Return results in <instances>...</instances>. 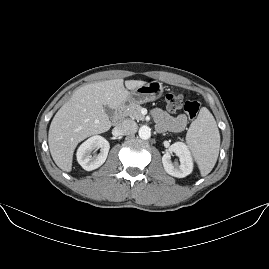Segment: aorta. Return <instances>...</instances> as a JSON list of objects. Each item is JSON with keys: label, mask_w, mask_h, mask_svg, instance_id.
<instances>
[{"label": "aorta", "mask_w": 269, "mask_h": 269, "mask_svg": "<svg viewBox=\"0 0 269 269\" xmlns=\"http://www.w3.org/2000/svg\"><path fill=\"white\" fill-rule=\"evenodd\" d=\"M139 137L143 140H147L151 137V129L148 126H142L139 129Z\"/></svg>", "instance_id": "762f6f07"}]
</instances>
